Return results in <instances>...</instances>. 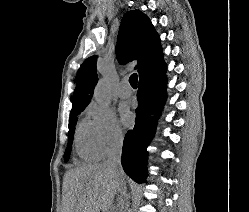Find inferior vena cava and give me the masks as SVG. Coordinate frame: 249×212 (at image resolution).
Instances as JSON below:
<instances>
[{
    "instance_id": "602c4592",
    "label": "inferior vena cava",
    "mask_w": 249,
    "mask_h": 212,
    "mask_svg": "<svg viewBox=\"0 0 249 212\" xmlns=\"http://www.w3.org/2000/svg\"><path fill=\"white\" fill-rule=\"evenodd\" d=\"M122 148H123V138H119V140H114L113 144L110 146V150L107 154V162L108 166H113L115 170H117V174L120 176L119 170L123 172L121 168V154H122ZM119 182V190L120 196L117 200V212H131L129 208V202H128V194H127V188H126V182L125 178H117Z\"/></svg>"
}]
</instances>
